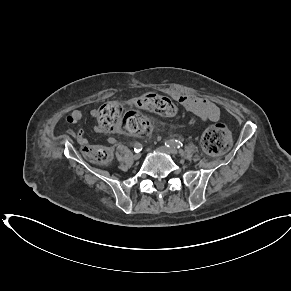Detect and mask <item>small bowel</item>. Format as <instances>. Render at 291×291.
I'll list each match as a JSON object with an SVG mask.
<instances>
[{"label":"small bowel","instance_id":"small-bowel-1","mask_svg":"<svg viewBox=\"0 0 291 291\" xmlns=\"http://www.w3.org/2000/svg\"><path fill=\"white\" fill-rule=\"evenodd\" d=\"M177 101L190 113L197 116L202 121L216 122L220 119V109L211 100L195 95L182 94L177 96ZM97 111L92 110L91 114L96 115ZM83 118V113L78 110H72L65 118V122L69 125L77 124ZM97 132L98 128L95 129ZM68 134L75 138L81 146L88 144V139L85 136L84 130L78 131L69 130ZM110 143H115L114 138L109 139Z\"/></svg>","mask_w":291,"mask_h":291}]
</instances>
